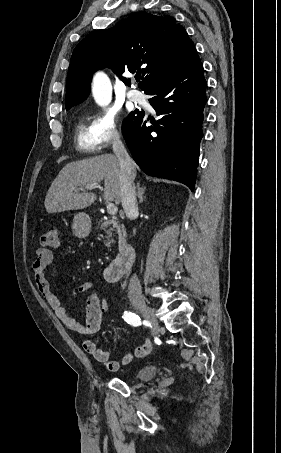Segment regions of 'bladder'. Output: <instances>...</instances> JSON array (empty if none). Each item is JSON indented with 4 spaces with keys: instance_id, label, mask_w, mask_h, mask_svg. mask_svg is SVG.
Segmentation results:
<instances>
[{
    "instance_id": "31cf9c89",
    "label": "bladder",
    "mask_w": 281,
    "mask_h": 453,
    "mask_svg": "<svg viewBox=\"0 0 281 453\" xmlns=\"http://www.w3.org/2000/svg\"><path fill=\"white\" fill-rule=\"evenodd\" d=\"M158 372V367L156 365H146L138 369L134 377L140 380H146L152 378Z\"/></svg>"
}]
</instances>
